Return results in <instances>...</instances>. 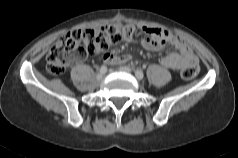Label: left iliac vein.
<instances>
[{
  "mask_svg": "<svg viewBox=\"0 0 238 158\" xmlns=\"http://www.w3.org/2000/svg\"><path fill=\"white\" fill-rule=\"evenodd\" d=\"M119 70L122 71V72H126V73H131L132 72V70L127 66L120 67Z\"/></svg>",
  "mask_w": 238,
  "mask_h": 158,
  "instance_id": "4c4485c4",
  "label": "left iliac vein"
}]
</instances>
